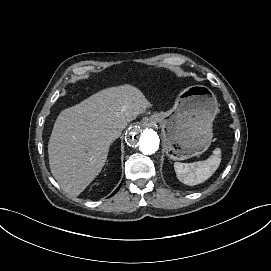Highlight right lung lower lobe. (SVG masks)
Masks as SVG:
<instances>
[{"mask_svg": "<svg viewBox=\"0 0 271 271\" xmlns=\"http://www.w3.org/2000/svg\"><path fill=\"white\" fill-rule=\"evenodd\" d=\"M120 186L115 190V192L112 195H114L119 190Z\"/></svg>", "mask_w": 271, "mask_h": 271, "instance_id": "obj_1", "label": "right lung lower lobe"}]
</instances>
